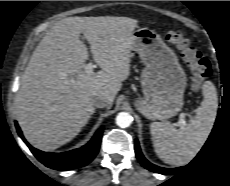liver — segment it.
<instances>
[{
	"mask_svg": "<svg viewBox=\"0 0 230 186\" xmlns=\"http://www.w3.org/2000/svg\"><path fill=\"white\" fill-rule=\"evenodd\" d=\"M137 20L128 17H68L56 22L34 50L15 99L18 123L35 148L52 151L70 142L95 112L92 99L110 108L130 74ZM90 43L100 71L85 73Z\"/></svg>",
	"mask_w": 230,
	"mask_h": 186,
	"instance_id": "1",
	"label": "liver"
}]
</instances>
